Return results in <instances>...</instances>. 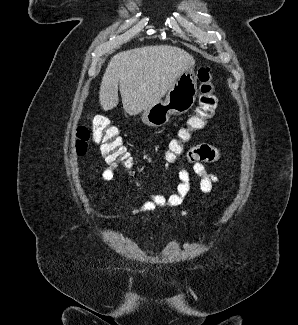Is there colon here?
Returning a JSON list of instances; mask_svg holds the SVG:
<instances>
[{
	"label": "colon",
	"instance_id": "obj_1",
	"mask_svg": "<svg viewBox=\"0 0 298 325\" xmlns=\"http://www.w3.org/2000/svg\"><path fill=\"white\" fill-rule=\"evenodd\" d=\"M199 82V101L195 112L181 128L177 137L171 140L165 153L167 163H174L184 151L194 132L203 130L213 117L217 107L214 94L212 72L209 67H201L197 71ZM75 148L78 155H83L89 140L100 145L101 153L110 162L122 164L125 168H132V159L123 145L119 130L104 116H92L88 123L81 124L76 129Z\"/></svg>",
	"mask_w": 298,
	"mask_h": 325
}]
</instances>
